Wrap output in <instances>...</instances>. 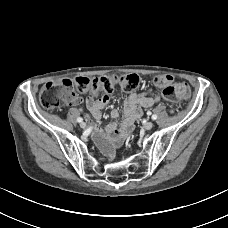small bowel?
Segmentation results:
<instances>
[{
	"instance_id": "small-bowel-1",
	"label": "small bowel",
	"mask_w": 228,
	"mask_h": 228,
	"mask_svg": "<svg viewBox=\"0 0 228 228\" xmlns=\"http://www.w3.org/2000/svg\"><path fill=\"white\" fill-rule=\"evenodd\" d=\"M108 101L109 96L107 94L97 98H87L86 104L94 119L98 120L102 117V110ZM160 101V96H151L149 91L131 93L124 102L121 123L112 122L105 128H100L90 121L95 141L108 155L112 156L114 149L121 145L132 131L135 120L142 116L143 108H150ZM110 116L116 119L120 113L117 109H113Z\"/></svg>"
}]
</instances>
